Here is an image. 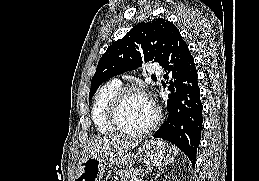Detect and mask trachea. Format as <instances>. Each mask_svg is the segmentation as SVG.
<instances>
[{"label":"trachea","mask_w":259,"mask_h":181,"mask_svg":"<svg viewBox=\"0 0 259 181\" xmlns=\"http://www.w3.org/2000/svg\"><path fill=\"white\" fill-rule=\"evenodd\" d=\"M151 77L154 78V77H156V76H155V75H152Z\"/></svg>","instance_id":"obj_1"}]
</instances>
